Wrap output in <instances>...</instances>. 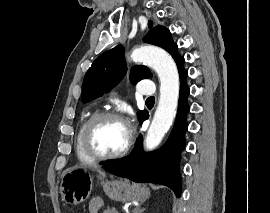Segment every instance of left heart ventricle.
<instances>
[{
    "label": "left heart ventricle",
    "instance_id": "1",
    "mask_svg": "<svg viewBox=\"0 0 270 213\" xmlns=\"http://www.w3.org/2000/svg\"><path fill=\"white\" fill-rule=\"evenodd\" d=\"M127 124L119 120L102 122L93 134V146L101 154H113L122 150L128 140Z\"/></svg>",
    "mask_w": 270,
    "mask_h": 213
}]
</instances>
